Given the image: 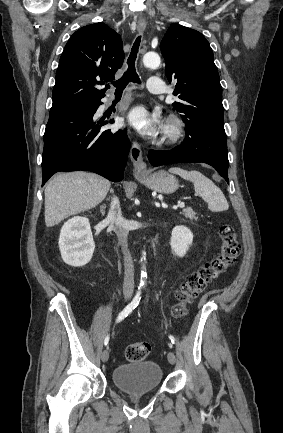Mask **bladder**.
Here are the masks:
<instances>
[{"label": "bladder", "mask_w": 283, "mask_h": 433, "mask_svg": "<svg viewBox=\"0 0 283 433\" xmlns=\"http://www.w3.org/2000/svg\"><path fill=\"white\" fill-rule=\"evenodd\" d=\"M162 370L154 361H136L118 366L112 374L113 384L123 392L152 391L161 384Z\"/></svg>", "instance_id": "1"}]
</instances>
